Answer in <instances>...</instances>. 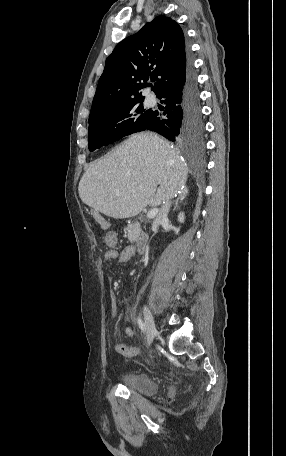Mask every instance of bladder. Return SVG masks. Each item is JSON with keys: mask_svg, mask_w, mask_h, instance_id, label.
<instances>
[{"mask_svg": "<svg viewBox=\"0 0 286 456\" xmlns=\"http://www.w3.org/2000/svg\"><path fill=\"white\" fill-rule=\"evenodd\" d=\"M121 383L145 396L153 395L158 391L157 382L144 373H124L121 376Z\"/></svg>", "mask_w": 286, "mask_h": 456, "instance_id": "bladder-1", "label": "bladder"}]
</instances>
